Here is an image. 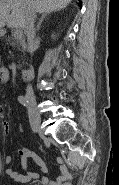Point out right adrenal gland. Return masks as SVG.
Returning a JSON list of instances; mask_svg holds the SVG:
<instances>
[{"mask_svg": "<svg viewBox=\"0 0 119 185\" xmlns=\"http://www.w3.org/2000/svg\"><path fill=\"white\" fill-rule=\"evenodd\" d=\"M48 15H49V13H43V14L41 15L40 20H39V22L37 23V28H36L37 31H39L42 22L44 21V19H45Z\"/></svg>", "mask_w": 119, "mask_h": 185, "instance_id": "right-adrenal-gland-1", "label": "right adrenal gland"}]
</instances>
